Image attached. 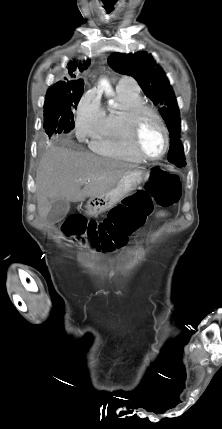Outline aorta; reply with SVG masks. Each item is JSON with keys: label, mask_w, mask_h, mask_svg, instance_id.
I'll return each mask as SVG.
<instances>
[{"label": "aorta", "mask_w": 222, "mask_h": 429, "mask_svg": "<svg viewBox=\"0 0 222 429\" xmlns=\"http://www.w3.org/2000/svg\"><path fill=\"white\" fill-rule=\"evenodd\" d=\"M101 84H102V86H103V88H104L105 92H106L107 94H110V93H111V87H110L109 83H108L106 80H102V81H101Z\"/></svg>", "instance_id": "762f6f07"}]
</instances>
